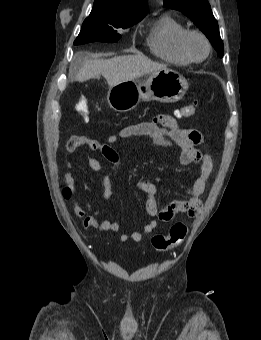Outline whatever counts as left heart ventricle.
Segmentation results:
<instances>
[{
	"mask_svg": "<svg viewBox=\"0 0 261 340\" xmlns=\"http://www.w3.org/2000/svg\"><path fill=\"white\" fill-rule=\"evenodd\" d=\"M188 50L195 58H202L206 53V45L198 36H192L188 40Z\"/></svg>",
	"mask_w": 261,
	"mask_h": 340,
	"instance_id": "1",
	"label": "left heart ventricle"
}]
</instances>
